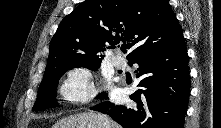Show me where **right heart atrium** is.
I'll return each instance as SVG.
<instances>
[{"instance_id":"d8ad5b80","label":"right heart atrium","mask_w":221,"mask_h":128,"mask_svg":"<svg viewBox=\"0 0 221 128\" xmlns=\"http://www.w3.org/2000/svg\"><path fill=\"white\" fill-rule=\"evenodd\" d=\"M60 93L69 103L85 102L94 95L93 76L85 66L70 67L62 81Z\"/></svg>"}]
</instances>
